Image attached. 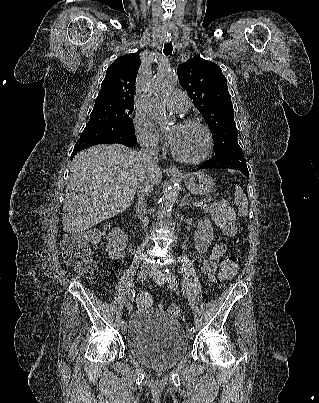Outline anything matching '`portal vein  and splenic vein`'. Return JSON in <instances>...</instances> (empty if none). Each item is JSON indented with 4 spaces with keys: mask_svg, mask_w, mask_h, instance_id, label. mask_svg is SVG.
I'll use <instances>...</instances> for the list:
<instances>
[{
    "mask_svg": "<svg viewBox=\"0 0 319 403\" xmlns=\"http://www.w3.org/2000/svg\"><path fill=\"white\" fill-rule=\"evenodd\" d=\"M211 200H212V198H207V199L201 200L200 202L195 203V206L199 207V206L205 204V202H210Z\"/></svg>",
    "mask_w": 319,
    "mask_h": 403,
    "instance_id": "obj_1",
    "label": "portal vein and splenic vein"
}]
</instances>
